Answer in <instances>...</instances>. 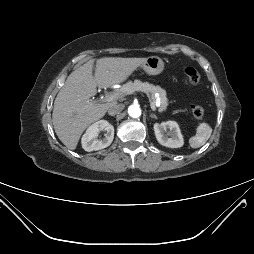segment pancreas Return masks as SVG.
Here are the masks:
<instances>
[{
	"mask_svg": "<svg viewBox=\"0 0 254 254\" xmlns=\"http://www.w3.org/2000/svg\"><path fill=\"white\" fill-rule=\"evenodd\" d=\"M135 91H142L146 93L151 99H154L155 96L158 95L160 103L158 106V111L161 113L166 111L169 103L166 96V91L160 86H154L152 84H149L148 82L135 80L134 82H127L119 89V93H121L122 95L132 94Z\"/></svg>",
	"mask_w": 254,
	"mask_h": 254,
	"instance_id": "cf45deb5",
	"label": "pancreas"
}]
</instances>
